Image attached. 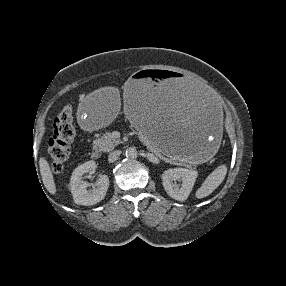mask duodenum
Returning <instances> with one entry per match:
<instances>
[{"mask_svg":"<svg viewBox=\"0 0 286 286\" xmlns=\"http://www.w3.org/2000/svg\"><path fill=\"white\" fill-rule=\"evenodd\" d=\"M91 156L93 159L97 160L100 158V152L98 149H94L91 153Z\"/></svg>","mask_w":286,"mask_h":286,"instance_id":"obj_1","label":"duodenum"}]
</instances>
